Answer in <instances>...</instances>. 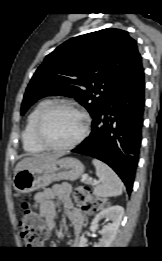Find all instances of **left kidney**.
<instances>
[{
	"label": "left kidney",
	"instance_id": "1",
	"mask_svg": "<svg viewBox=\"0 0 162 261\" xmlns=\"http://www.w3.org/2000/svg\"><path fill=\"white\" fill-rule=\"evenodd\" d=\"M123 214V207L116 205L103 209L95 216V218L92 221L93 225L97 224L103 218H106L108 221H111V223L105 225L103 229L100 231L102 238L98 243L95 244L96 248H106L111 245L117 234ZM78 246L86 247L87 239L85 237L81 238Z\"/></svg>",
	"mask_w": 162,
	"mask_h": 261
}]
</instances>
